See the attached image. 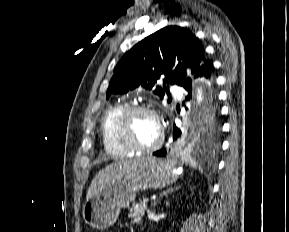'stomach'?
I'll list each match as a JSON object with an SVG mask.
<instances>
[{"label": "stomach", "instance_id": "0dacf381", "mask_svg": "<svg viewBox=\"0 0 289 232\" xmlns=\"http://www.w3.org/2000/svg\"><path fill=\"white\" fill-rule=\"evenodd\" d=\"M178 179L172 160L149 158L130 173L115 179L83 205V218L95 229L112 226L121 208L134 201L136 193L166 187Z\"/></svg>", "mask_w": 289, "mask_h": 232}]
</instances>
